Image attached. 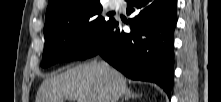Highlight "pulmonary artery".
Returning <instances> with one entry per match:
<instances>
[{"instance_id":"pulmonary-artery-1","label":"pulmonary artery","mask_w":221,"mask_h":102,"mask_svg":"<svg viewBox=\"0 0 221 102\" xmlns=\"http://www.w3.org/2000/svg\"><path fill=\"white\" fill-rule=\"evenodd\" d=\"M116 5H117V1L116 0L110 1V6L111 7H116Z\"/></svg>"}]
</instances>
